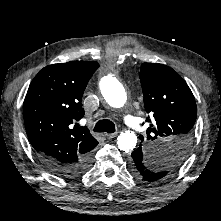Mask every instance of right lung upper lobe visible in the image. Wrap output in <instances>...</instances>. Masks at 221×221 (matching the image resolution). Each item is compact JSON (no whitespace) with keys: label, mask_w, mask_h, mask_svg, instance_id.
Returning a JSON list of instances; mask_svg holds the SVG:
<instances>
[{"label":"right lung upper lobe","mask_w":221,"mask_h":221,"mask_svg":"<svg viewBox=\"0 0 221 221\" xmlns=\"http://www.w3.org/2000/svg\"><path fill=\"white\" fill-rule=\"evenodd\" d=\"M99 64L72 61L46 66L32 80L23 104L28 139L37 155L72 163L91 155L98 141L87 127L82 95Z\"/></svg>","instance_id":"1"}]
</instances>
